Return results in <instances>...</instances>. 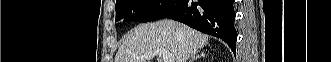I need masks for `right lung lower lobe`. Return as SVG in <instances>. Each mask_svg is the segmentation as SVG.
Wrapping results in <instances>:
<instances>
[{
    "label": "right lung lower lobe",
    "instance_id": "obj_1",
    "mask_svg": "<svg viewBox=\"0 0 331 62\" xmlns=\"http://www.w3.org/2000/svg\"><path fill=\"white\" fill-rule=\"evenodd\" d=\"M234 0H180L164 16L224 40L236 52Z\"/></svg>",
    "mask_w": 331,
    "mask_h": 62
}]
</instances>
